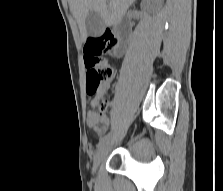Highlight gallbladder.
Returning a JSON list of instances; mask_svg holds the SVG:
<instances>
[{
    "label": "gallbladder",
    "instance_id": "1",
    "mask_svg": "<svg viewBox=\"0 0 223 191\" xmlns=\"http://www.w3.org/2000/svg\"><path fill=\"white\" fill-rule=\"evenodd\" d=\"M105 22L98 12L90 11L85 20L86 32L91 37L100 36L105 29Z\"/></svg>",
    "mask_w": 223,
    "mask_h": 191
}]
</instances>
